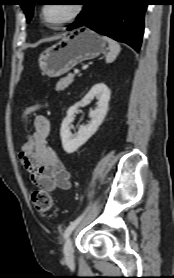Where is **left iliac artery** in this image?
<instances>
[{"label":"left iliac artery","mask_w":174,"mask_h":278,"mask_svg":"<svg viewBox=\"0 0 174 278\" xmlns=\"http://www.w3.org/2000/svg\"><path fill=\"white\" fill-rule=\"evenodd\" d=\"M89 207L74 221H72L69 226L66 228L65 232H64V239H66L71 232L74 230V228L80 223V221L83 219L84 215L86 214V212L88 211Z\"/></svg>","instance_id":"44dca946"}]
</instances>
